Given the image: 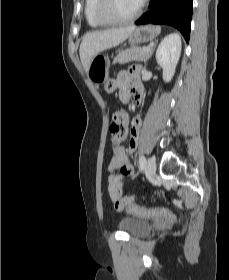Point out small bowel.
<instances>
[{"label": "small bowel", "mask_w": 229, "mask_h": 280, "mask_svg": "<svg viewBox=\"0 0 229 280\" xmlns=\"http://www.w3.org/2000/svg\"><path fill=\"white\" fill-rule=\"evenodd\" d=\"M105 90L110 94L118 92L122 101H127L130 93H133L136 102L141 104L143 101V87L140 80L139 67L133 65L128 71L117 73L105 84ZM141 126V119L135 118L131 125V139L128 149L124 145H117L113 149V155L108 165L107 186L110 197L114 201L126 198L124 194V179L135 174L133 166L129 163L127 151L133 153L136 150ZM116 170H119L120 173H116ZM116 209L118 211L123 210L117 207Z\"/></svg>", "instance_id": "c3829d8e"}]
</instances>
